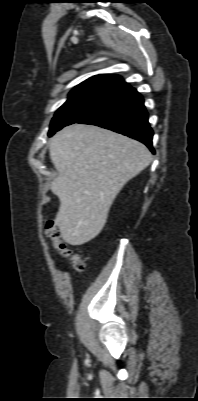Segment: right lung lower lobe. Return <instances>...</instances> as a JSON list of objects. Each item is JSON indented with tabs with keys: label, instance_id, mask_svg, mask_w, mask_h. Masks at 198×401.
I'll use <instances>...</instances> for the list:
<instances>
[{
	"label": "right lung lower lobe",
	"instance_id": "right-lung-lower-lobe-1",
	"mask_svg": "<svg viewBox=\"0 0 198 401\" xmlns=\"http://www.w3.org/2000/svg\"><path fill=\"white\" fill-rule=\"evenodd\" d=\"M76 123L97 125L129 136L155 153L143 98L125 82L111 90L94 111Z\"/></svg>",
	"mask_w": 198,
	"mask_h": 401
}]
</instances>
